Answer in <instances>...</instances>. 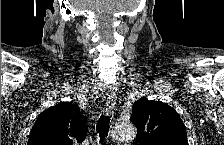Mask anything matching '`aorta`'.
Listing matches in <instances>:
<instances>
[{"mask_svg":"<svg viewBox=\"0 0 224 145\" xmlns=\"http://www.w3.org/2000/svg\"><path fill=\"white\" fill-rule=\"evenodd\" d=\"M136 133V128L132 123H117L112 129L111 136L116 141H132Z\"/></svg>","mask_w":224,"mask_h":145,"instance_id":"1","label":"aorta"}]
</instances>
